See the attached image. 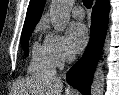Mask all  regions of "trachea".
<instances>
[{"label": "trachea", "instance_id": "obj_1", "mask_svg": "<svg viewBox=\"0 0 119 95\" xmlns=\"http://www.w3.org/2000/svg\"><path fill=\"white\" fill-rule=\"evenodd\" d=\"M93 0H83V4L87 8H91Z\"/></svg>", "mask_w": 119, "mask_h": 95}]
</instances>
